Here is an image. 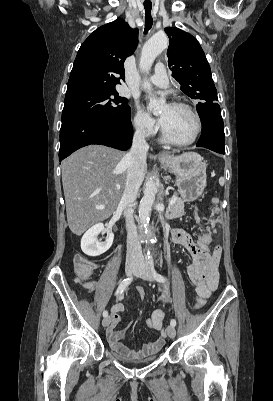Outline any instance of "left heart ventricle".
<instances>
[{"label":"left heart ventricle","instance_id":"left-heart-ventricle-1","mask_svg":"<svg viewBox=\"0 0 273 401\" xmlns=\"http://www.w3.org/2000/svg\"><path fill=\"white\" fill-rule=\"evenodd\" d=\"M161 124L165 131L178 140H189L196 132L194 118L184 109L168 106L160 111Z\"/></svg>","mask_w":273,"mask_h":401}]
</instances>
